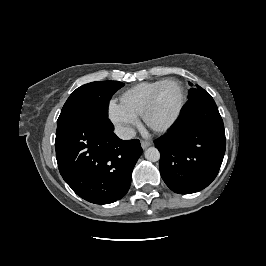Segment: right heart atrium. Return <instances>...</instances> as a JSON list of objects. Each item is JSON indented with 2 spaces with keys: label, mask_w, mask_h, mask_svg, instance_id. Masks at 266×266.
I'll use <instances>...</instances> for the list:
<instances>
[{
  "label": "right heart atrium",
  "mask_w": 266,
  "mask_h": 266,
  "mask_svg": "<svg viewBox=\"0 0 266 266\" xmlns=\"http://www.w3.org/2000/svg\"><path fill=\"white\" fill-rule=\"evenodd\" d=\"M107 113L109 120L122 134H130L138 124L137 115L115 99L108 102Z\"/></svg>",
  "instance_id": "d8ad5b80"
}]
</instances>
